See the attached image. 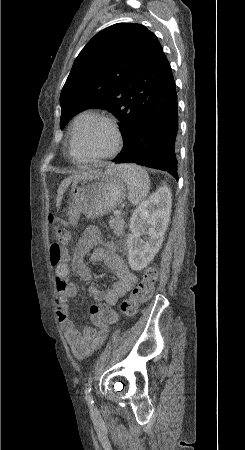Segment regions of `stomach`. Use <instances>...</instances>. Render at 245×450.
Returning a JSON list of instances; mask_svg holds the SVG:
<instances>
[{
  "mask_svg": "<svg viewBox=\"0 0 245 450\" xmlns=\"http://www.w3.org/2000/svg\"><path fill=\"white\" fill-rule=\"evenodd\" d=\"M127 194L126 182L116 166L94 170L72 182L67 215L72 224L81 214L89 219L102 217L115 210Z\"/></svg>",
  "mask_w": 245,
  "mask_h": 450,
  "instance_id": "1",
  "label": "stomach"
}]
</instances>
